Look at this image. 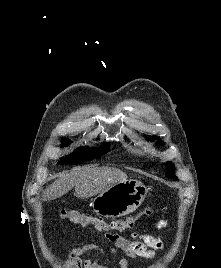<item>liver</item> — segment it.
Listing matches in <instances>:
<instances>
[{
  "instance_id": "1",
  "label": "liver",
  "mask_w": 221,
  "mask_h": 268,
  "mask_svg": "<svg viewBox=\"0 0 221 268\" xmlns=\"http://www.w3.org/2000/svg\"><path fill=\"white\" fill-rule=\"evenodd\" d=\"M122 170L112 167H83L62 173L44 191L43 201L62 197L75 187V195L80 199L95 196L113 185L127 180Z\"/></svg>"
}]
</instances>
